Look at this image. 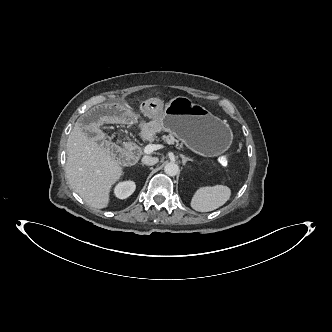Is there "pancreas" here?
<instances>
[{"instance_id":"cf45deb5","label":"pancreas","mask_w":332,"mask_h":332,"mask_svg":"<svg viewBox=\"0 0 332 332\" xmlns=\"http://www.w3.org/2000/svg\"><path fill=\"white\" fill-rule=\"evenodd\" d=\"M161 140H163L165 143L169 144V145H175L178 149H182L183 148V143H180L177 139H175L172 135H163L161 137ZM150 142L153 141H159V138L157 137H151L149 138Z\"/></svg>"}]
</instances>
